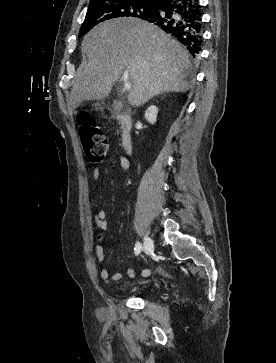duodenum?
<instances>
[{
    "label": "duodenum",
    "mask_w": 276,
    "mask_h": 363,
    "mask_svg": "<svg viewBox=\"0 0 276 363\" xmlns=\"http://www.w3.org/2000/svg\"><path fill=\"white\" fill-rule=\"evenodd\" d=\"M120 121L121 131V144L127 155H130L133 150L132 145V129H133V115L130 111H121L118 114Z\"/></svg>",
    "instance_id": "duodenum-1"
}]
</instances>
